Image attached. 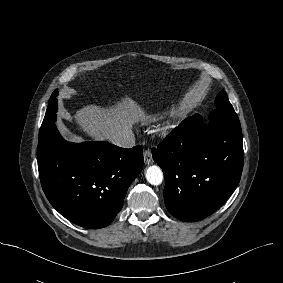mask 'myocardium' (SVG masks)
<instances>
[{"instance_id": "obj_1", "label": "myocardium", "mask_w": 283, "mask_h": 283, "mask_svg": "<svg viewBox=\"0 0 283 283\" xmlns=\"http://www.w3.org/2000/svg\"><path fill=\"white\" fill-rule=\"evenodd\" d=\"M177 117L178 112L171 113L170 116L159 125L158 133L163 136L167 135L174 128Z\"/></svg>"}]
</instances>
